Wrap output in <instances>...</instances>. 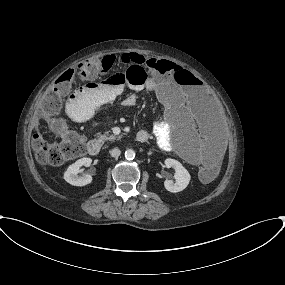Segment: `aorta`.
Instances as JSON below:
<instances>
[{"instance_id": "aorta-1", "label": "aorta", "mask_w": 285, "mask_h": 285, "mask_svg": "<svg viewBox=\"0 0 285 285\" xmlns=\"http://www.w3.org/2000/svg\"><path fill=\"white\" fill-rule=\"evenodd\" d=\"M125 158L127 160H132L135 158V151L133 149H127L125 151Z\"/></svg>"}]
</instances>
